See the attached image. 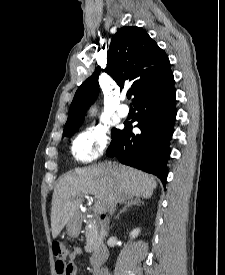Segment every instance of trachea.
I'll return each mask as SVG.
<instances>
[{
	"label": "trachea",
	"instance_id": "trachea-1",
	"mask_svg": "<svg viewBox=\"0 0 225 275\" xmlns=\"http://www.w3.org/2000/svg\"><path fill=\"white\" fill-rule=\"evenodd\" d=\"M127 98L131 99V93H127Z\"/></svg>",
	"mask_w": 225,
	"mask_h": 275
}]
</instances>
